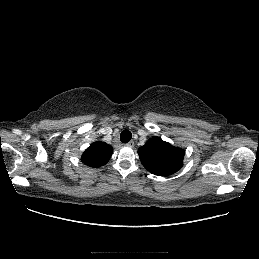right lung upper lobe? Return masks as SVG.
I'll list each match as a JSON object with an SVG mask.
<instances>
[{"mask_svg":"<svg viewBox=\"0 0 259 259\" xmlns=\"http://www.w3.org/2000/svg\"><path fill=\"white\" fill-rule=\"evenodd\" d=\"M112 152V146L100 141L94 142L83 153L81 160L85 165L97 168L109 161Z\"/></svg>","mask_w":259,"mask_h":259,"instance_id":"right-lung-upper-lobe-1","label":"right lung upper lobe"}]
</instances>
